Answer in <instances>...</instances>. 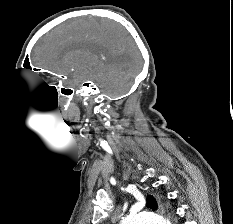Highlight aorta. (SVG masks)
Listing matches in <instances>:
<instances>
[{
    "label": "aorta",
    "mask_w": 233,
    "mask_h": 224,
    "mask_svg": "<svg viewBox=\"0 0 233 224\" xmlns=\"http://www.w3.org/2000/svg\"><path fill=\"white\" fill-rule=\"evenodd\" d=\"M120 224H171L168 219L152 212L130 214Z\"/></svg>",
    "instance_id": "1"
}]
</instances>
